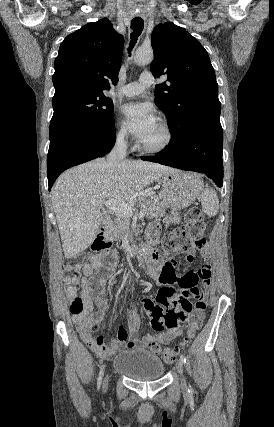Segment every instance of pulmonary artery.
<instances>
[{
	"mask_svg": "<svg viewBox=\"0 0 274 427\" xmlns=\"http://www.w3.org/2000/svg\"><path fill=\"white\" fill-rule=\"evenodd\" d=\"M154 83L153 77L148 72H143L138 81L129 83L121 88V92L125 96H137L143 93Z\"/></svg>",
	"mask_w": 274,
	"mask_h": 427,
	"instance_id": "1",
	"label": "pulmonary artery"
}]
</instances>
